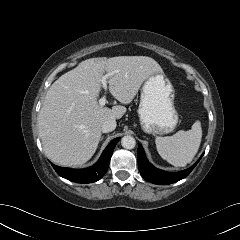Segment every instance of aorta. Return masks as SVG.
Segmentation results:
<instances>
[{
  "label": "aorta",
  "instance_id": "aorta-1",
  "mask_svg": "<svg viewBox=\"0 0 240 240\" xmlns=\"http://www.w3.org/2000/svg\"><path fill=\"white\" fill-rule=\"evenodd\" d=\"M121 145L125 149H133L136 145L135 138L130 135H126L121 139Z\"/></svg>",
  "mask_w": 240,
  "mask_h": 240
}]
</instances>
